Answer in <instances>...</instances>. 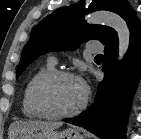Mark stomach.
Masks as SVG:
<instances>
[{"instance_id":"0dacf381","label":"stomach","mask_w":141,"mask_h":139,"mask_svg":"<svg viewBox=\"0 0 141 139\" xmlns=\"http://www.w3.org/2000/svg\"><path fill=\"white\" fill-rule=\"evenodd\" d=\"M15 139H86V137L78 130L71 128L62 132L54 130L35 131Z\"/></svg>"}]
</instances>
